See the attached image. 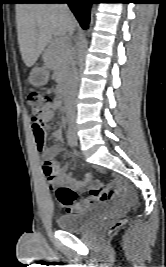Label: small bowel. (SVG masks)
Wrapping results in <instances>:
<instances>
[{"label":"small bowel","instance_id":"small-bowel-1","mask_svg":"<svg viewBox=\"0 0 166 267\" xmlns=\"http://www.w3.org/2000/svg\"><path fill=\"white\" fill-rule=\"evenodd\" d=\"M58 109L59 105L58 103H56L54 109L45 113L41 117L39 123L32 120V131L34 134L36 147L38 151L41 153V155L47 157L48 160L51 161V163L53 158L59 152V147L53 146L49 149H46L45 142L43 145H40L38 142V130L39 127H41L44 131L46 124L54 118ZM52 135L53 138L58 142H61L64 139V133L61 128L56 129ZM54 169H55V174L53 176L46 175L44 171L45 175L48 178V185L50 188H54L57 181H62L67 187H69L72 190H83L85 188V184L78 182L73 175L67 173L68 164L63 165L62 167H57V168L54 167ZM106 190L107 191L114 190L115 192H94V191H102V186H93V190H91L90 196L87 197L82 202V207H88L95 199H101L102 201H112L114 196L121 193H126L130 200L135 199V195L128 191L126 184L121 179H115L112 182L111 186L108 187ZM65 207L67 208L69 213L73 212L76 208L75 206H70V207L65 206Z\"/></svg>","mask_w":166,"mask_h":267}]
</instances>
